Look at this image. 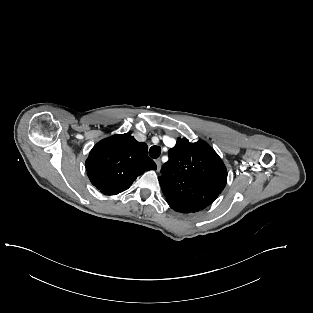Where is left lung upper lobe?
<instances>
[{"label":"left lung upper lobe","mask_w":313,"mask_h":313,"mask_svg":"<svg viewBox=\"0 0 313 313\" xmlns=\"http://www.w3.org/2000/svg\"><path fill=\"white\" fill-rule=\"evenodd\" d=\"M158 177L168 204L197 212L210 205L227 181L226 167L206 142L179 138Z\"/></svg>","instance_id":"obj_1"}]
</instances>
